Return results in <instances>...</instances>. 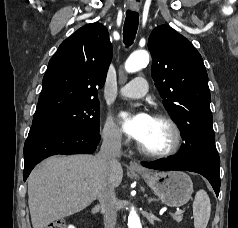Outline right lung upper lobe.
Returning a JSON list of instances; mask_svg holds the SVG:
<instances>
[{"label":"right lung upper lobe","mask_w":238,"mask_h":228,"mask_svg":"<svg viewBox=\"0 0 238 228\" xmlns=\"http://www.w3.org/2000/svg\"><path fill=\"white\" fill-rule=\"evenodd\" d=\"M111 59L112 44L105 26L92 23L79 28L49 61L34 117L98 100Z\"/></svg>","instance_id":"cb5924a9"}]
</instances>
